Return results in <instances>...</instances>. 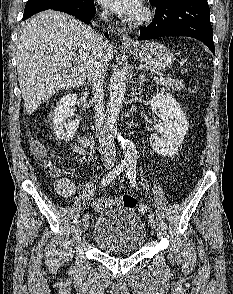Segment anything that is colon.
<instances>
[{
	"label": "colon",
	"mask_w": 233,
	"mask_h": 294,
	"mask_svg": "<svg viewBox=\"0 0 233 294\" xmlns=\"http://www.w3.org/2000/svg\"><path fill=\"white\" fill-rule=\"evenodd\" d=\"M32 151L36 156L42 157L46 153V148L43 144L39 142L32 143ZM118 205L127 208H134L136 206V199L130 194H123L117 200ZM92 206L96 210H105L110 206V203L106 201H94L92 202Z\"/></svg>",
	"instance_id": "5ec220e1"
}]
</instances>
